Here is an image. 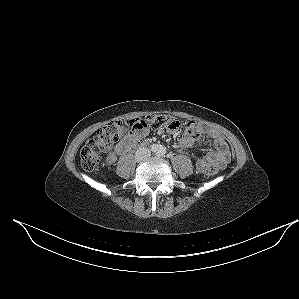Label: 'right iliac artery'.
I'll return each mask as SVG.
<instances>
[{"mask_svg": "<svg viewBox=\"0 0 299 299\" xmlns=\"http://www.w3.org/2000/svg\"><path fill=\"white\" fill-rule=\"evenodd\" d=\"M158 149H159V147H158L157 145H152V146H151V150H152L153 152L158 151Z\"/></svg>", "mask_w": 299, "mask_h": 299, "instance_id": "obj_1", "label": "right iliac artery"}]
</instances>
